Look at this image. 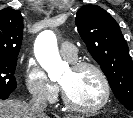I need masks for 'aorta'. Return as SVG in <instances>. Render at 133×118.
I'll list each match as a JSON object with an SVG mask.
<instances>
[{"instance_id":"762f6f07","label":"aorta","mask_w":133,"mask_h":118,"mask_svg":"<svg viewBox=\"0 0 133 118\" xmlns=\"http://www.w3.org/2000/svg\"><path fill=\"white\" fill-rule=\"evenodd\" d=\"M35 56L51 80L59 79L68 69V64L59 55L56 36L50 30L41 32L37 37Z\"/></svg>"}]
</instances>
